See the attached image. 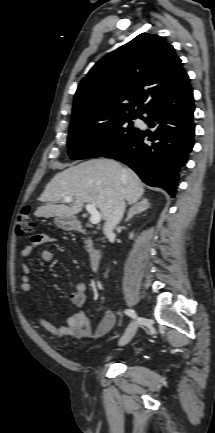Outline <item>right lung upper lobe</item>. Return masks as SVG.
<instances>
[{
    "mask_svg": "<svg viewBox=\"0 0 215 433\" xmlns=\"http://www.w3.org/2000/svg\"><path fill=\"white\" fill-rule=\"evenodd\" d=\"M187 82L172 45L158 35L142 33L98 61L81 81L71 125L141 116Z\"/></svg>",
    "mask_w": 215,
    "mask_h": 433,
    "instance_id": "right-lung-upper-lobe-1",
    "label": "right lung upper lobe"
}]
</instances>
